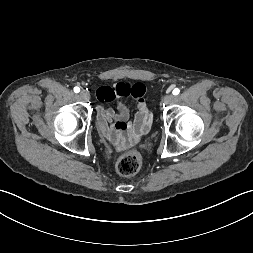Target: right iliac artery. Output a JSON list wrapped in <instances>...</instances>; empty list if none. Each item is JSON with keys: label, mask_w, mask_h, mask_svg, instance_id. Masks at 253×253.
<instances>
[{"label": "right iliac artery", "mask_w": 253, "mask_h": 253, "mask_svg": "<svg viewBox=\"0 0 253 253\" xmlns=\"http://www.w3.org/2000/svg\"><path fill=\"white\" fill-rule=\"evenodd\" d=\"M79 91H80V88H79V87H74V92H75V93H79Z\"/></svg>", "instance_id": "right-iliac-artery-1"}]
</instances>
